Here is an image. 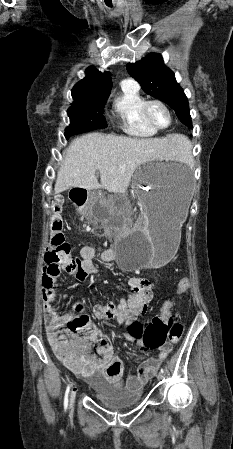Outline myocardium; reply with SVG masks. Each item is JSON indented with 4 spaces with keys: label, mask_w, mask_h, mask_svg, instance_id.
Instances as JSON below:
<instances>
[{
    "label": "myocardium",
    "mask_w": 233,
    "mask_h": 449,
    "mask_svg": "<svg viewBox=\"0 0 233 449\" xmlns=\"http://www.w3.org/2000/svg\"><path fill=\"white\" fill-rule=\"evenodd\" d=\"M159 105L161 106L166 113L168 114V123L166 126H157L150 118L149 116V109L152 105ZM141 114H142V118L143 120L154 130L159 131V130H164L168 127H170V125L172 124L173 121V117H172V112L170 110V108L168 107V105L163 102L162 100L159 99H150V100H146L141 108Z\"/></svg>",
    "instance_id": "f54148a6"
}]
</instances>
